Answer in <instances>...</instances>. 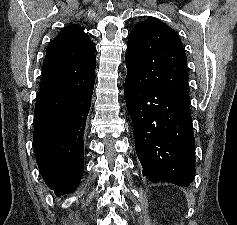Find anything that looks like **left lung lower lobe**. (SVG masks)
I'll return each mask as SVG.
<instances>
[{
  "instance_id": "1",
  "label": "left lung lower lobe",
  "mask_w": 237,
  "mask_h": 225,
  "mask_svg": "<svg viewBox=\"0 0 237 225\" xmlns=\"http://www.w3.org/2000/svg\"><path fill=\"white\" fill-rule=\"evenodd\" d=\"M124 98L143 175L188 187L195 177V142L188 92L141 87L128 72Z\"/></svg>"
}]
</instances>
